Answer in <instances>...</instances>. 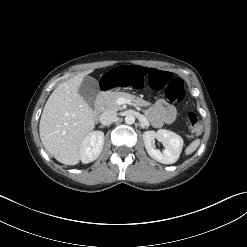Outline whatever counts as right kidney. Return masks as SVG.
I'll return each mask as SVG.
<instances>
[{"instance_id":"obj_1","label":"right kidney","mask_w":247,"mask_h":247,"mask_svg":"<svg viewBox=\"0 0 247 247\" xmlns=\"http://www.w3.org/2000/svg\"><path fill=\"white\" fill-rule=\"evenodd\" d=\"M104 145V133L102 131H93L89 133L81 147H80V159L83 163H90L96 160Z\"/></svg>"}]
</instances>
